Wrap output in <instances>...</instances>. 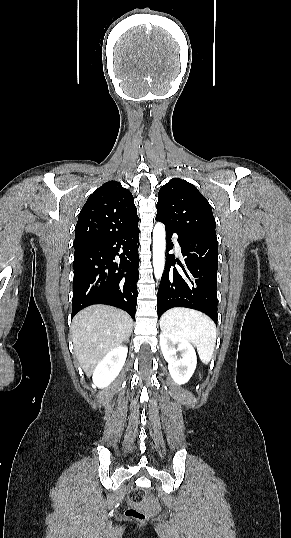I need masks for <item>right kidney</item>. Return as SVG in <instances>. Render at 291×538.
I'll return each mask as SVG.
<instances>
[{
	"mask_svg": "<svg viewBox=\"0 0 291 538\" xmlns=\"http://www.w3.org/2000/svg\"><path fill=\"white\" fill-rule=\"evenodd\" d=\"M127 352V346L119 345L103 357L93 372L92 380L95 387H107L118 376L124 366Z\"/></svg>",
	"mask_w": 291,
	"mask_h": 538,
	"instance_id": "1",
	"label": "right kidney"
}]
</instances>
